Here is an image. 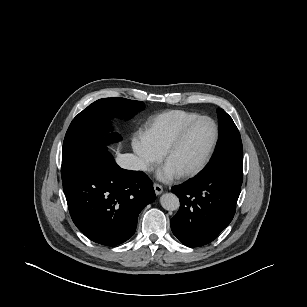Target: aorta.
Wrapping results in <instances>:
<instances>
[{
  "label": "aorta",
  "instance_id": "aorta-1",
  "mask_svg": "<svg viewBox=\"0 0 307 307\" xmlns=\"http://www.w3.org/2000/svg\"><path fill=\"white\" fill-rule=\"evenodd\" d=\"M161 206L168 211H175L180 207L179 198L173 193H165L160 198Z\"/></svg>",
  "mask_w": 307,
  "mask_h": 307
}]
</instances>
